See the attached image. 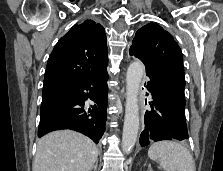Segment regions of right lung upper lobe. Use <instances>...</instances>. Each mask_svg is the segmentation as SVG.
Instances as JSON below:
<instances>
[{"label": "right lung upper lobe", "instance_id": "1", "mask_svg": "<svg viewBox=\"0 0 223 171\" xmlns=\"http://www.w3.org/2000/svg\"><path fill=\"white\" fill-rule=\"evenodd\" d=\"M105 29L93 20L74 25L54 47L46 67L43 93L78 85L105 70Z\"/></svg>", "mask_w": 223, "mask_h": 171}]
</instances>
